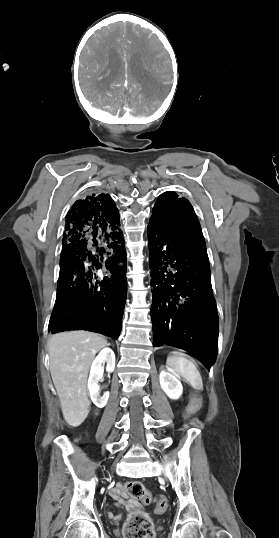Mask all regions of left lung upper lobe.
Segmentation results:
<instances>
[{
    "instance_id": "obj_1",
    "label": "left lung upper lobe",
    "mask_w": 279,
    "mask_h": 538,
    "mask_svg": "<svg viewBox=\"0 0 279 538\" xmlns=\"http://www.w3.org/2000/svg\"><path fill=\"white\" fill-rule=\"evenodd\" d=\"M148 226L161 231L203 237L199 221L189 201L179 198L172 191L159 196Z\"/></svg>"
}]
</instances>
